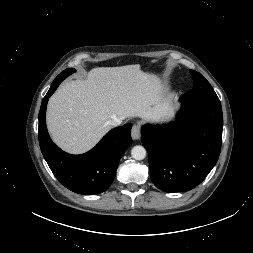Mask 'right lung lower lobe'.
<instances>
[{"label":"right lung lower lobe","instance_id":"right-lung-lower-lobe-1","mask_svg":"<svg viewBox=\"0 0 253 253\" xmlns=\"http://www.w3.org/2000/svg\"><path fill=\"white\" fill-rule=\"evenodd\" d=\"M60 83L51 85L41 104L38 137L42 154L55 177L69 190L82 195L102 193L113 182L120 158L132 144V124L112 129L85 154L62 151L50 139L45 122L48 99Z\"/></svg>","mask_w":253,"mask_h":253}]
</instances>
